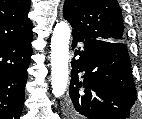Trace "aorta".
I'll return each mask as SVG.
<instances>
[{"instance_id": "762f6f07", "label": "aorta", "mask_w": 142, "mask_h": 119, "mask_svg": "<svg viewBox=\"0 0 142 119\" xmlns=\"http://www.w3.org/2000/svg\"><path fill=\"white\" fill-rule=\"evenodd\" d=\"M70 27L66 22L56 24L51 37V85L56 98L67 88Z\"/></svg>"}]
</instances>
